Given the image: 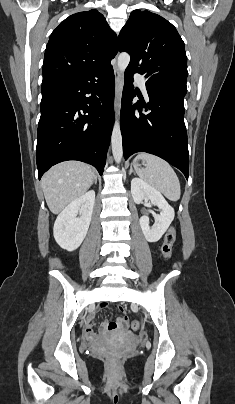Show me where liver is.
Instances as JSON below:
<instances>
[{
    "label": "liver",
    "mask_w": 235,
    "mask_h": 404,
    "mask_svg": "<svg viewBox=\"0 0 235 404\" xmlns=\"http://www.w3.org/2000/svg\"><path fill=\"white\" fill-rule=\"evenodd\" d=\"M94 178V170L83 162L66 161L53 166L41 179L50 211L59 214L69 203L86 193Z\"/></svg>",
    "instance_id": "6515ba94"
}]
</instances>
